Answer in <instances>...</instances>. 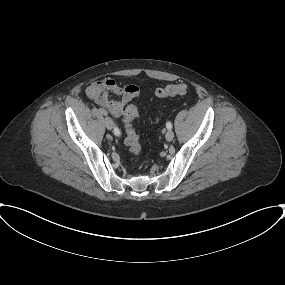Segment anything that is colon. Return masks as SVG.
I'll return each instance as SVG.
<instances>
[{"instance_id": "5ec220e1", "label": "colon", "mask_w": 285, "mask_h": 285, "mask_svg": "<svg viewBox=\"0 0 285 285\" xmlns=\"http://www.w3.org/2000/svg\"><path fill=\"white\" fill-rule=\"evenodd\" d=\"M187 93V86L183 83L170 84L163 88L156 90V96L158 98H167L176 95H184ZM139 117V110L136 106L130 105L126 108L122 122L126 131L125 144L129 151L135 155L139 156L142 152V143L139 135L133 128V121Z\"/></svg>"}]
</instances>
